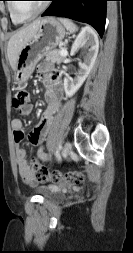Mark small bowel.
Returning <instances> with one entry per match:
<instances>
[{"mask_svg":"<svg viewBox=\"0 0 133 253\" xmlns=\"http://www.w3.org/2000/svg\"><path fill=\"white\" fill-rule=\"evenodd\" d=\"M38 72L41 75L42 82L46 89L44 97L47 103V108L44 111L40 122L29 135V141L34 145H41L45 140L52 126L54 114L59 111L63 98L60 75L52 69L51 65H40L38 67ZM32 110L33 106L31 104H27L19 111V113L22 116H29L32 113ZM11 127L13 130L15 154L19 174L26 184L34 185L38 182V180L34 175L32 166L26 159V151L21 146V142L24 138L23 123L21 119H13L11 121ZM37 156L39 159L46 162L52 161L53 159L52 154L45 152V147L43 145L39 147Z\"/></svg>","mask_w":133,"mask_h":253,"instance_id":"small-bowel-1","label":"small bowel"}]
</instances>
